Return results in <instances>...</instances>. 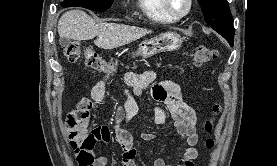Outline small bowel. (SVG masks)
<instances>
[{"instance_id": "small-bowel-1", "label": "small bowel", "mask_w": 277, "mask_h": 166, "mask_svg": "<svg viewBox=\"0 0 277 166\" xmlns=\"http://www.w3.org/2000/svg\"><path fill=\"white\" fill-rule=\"evenodd\" d=\"M156 78V72L148 70L141 74L126 72L115 81L105 79L98 81L91 90V96L82 98L76 109L68 115L67 126L72 123L77 113L84 115L83 121L87 125L91 109L104 100L108 86L113 85L125 97L124 104L118 105L116 108L114 125L115 139L122 149V166H137L135 139L127 129L122 127V123L129 122L138 114L139 106L135 96L143 94L147 88L151 87L152 97L161 104L154 109L155 123L163 124L169 114L179 138L186 145L176 166H193L194 160L198 156L195 112L183 101L180 87L175 81L164 80L155 83ZM140 138L144 141H152L156 135L150 132H141ZM110 140L111 130L106 125L98 126L87 133L85 141L80 145L77 153L78 156L89 158V162L84 166H107V157L96 156L95 151L100 142L109 143ZM148 162L151 166H173L167 164L162 158H148Z\"/></svg>"}]
</instances>
